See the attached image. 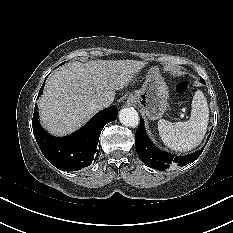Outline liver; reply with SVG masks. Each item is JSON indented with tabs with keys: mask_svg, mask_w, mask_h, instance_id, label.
<instances>
[{
	"mask_svg": "<svg viewBox=\"0 0 233 233\" xmlns=\"http://www.w3.org/2000/svg\"><path fill=\"white\" fill-rule=\"evenodd\" d=\"M145 65L136 60H91L55 71L38 102L42 125L56 136L74 132L103 108L100 98L113 102L116 91L131 84Z\"/></svg>",
	"mask_w": 233,
	"mask_h": 233,
	"instance_id": "6515ba94",
	"label": "liver"
}]
</instances>
